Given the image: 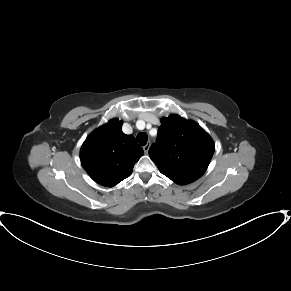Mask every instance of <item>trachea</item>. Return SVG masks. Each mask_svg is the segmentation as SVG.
Masks as SVG:
<instances>
[{
    "label": "trachea",
    "instance_id": "obj_1",
    "mask_svg": "<svg viewBox=\"0 0 291 291\" xmlns=\"http://www.w3.org/2000/svg\"><path fill=\"white\" fill-rule=\"evenodd\" d=\"M148 140V136L145 132H140L137 135V141L141 146H145Z\"/></svg>",
    "mask_w": 291,
    "mask_h": 291
}]
</instances>
